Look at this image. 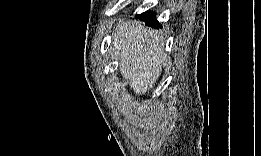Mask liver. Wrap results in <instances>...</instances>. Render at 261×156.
<instances>
[{
  "mask_svg": "<svg viewBox=\"0 0 261 156\" xmlns=\"http://www.w3.org/2000/svg\"><path fill=\"white\" fill-rule=\"evenodd\" d=\"M113 57L136 95L145 94L158 80L164 62L161 38L140 23H124L113 35Z\"/></svg>",
  "mask_w": 261,
  "mask_h": 156,
  "instance_id": "liver-1",
  "label": "liver"
}]
</instances>
